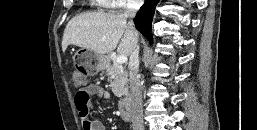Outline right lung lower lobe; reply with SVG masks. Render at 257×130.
<instances>
[{
	"label": "right lung lower lobe",
	"instance_id": "98d812e1",
	"mask_svg": "<svg viewBox=\"0 0 257 130\" xmlns=\"http://www.w3.org/2000/svg\"><path fill=\"white\" fill-rule=\"evenodd\" d=\"M159 0H148L137 13L134 22L137 29L152 42L151 22Z\"/></svg>",
	"mask_w": 257,
	"mask_h": 130
}]
</instances>
